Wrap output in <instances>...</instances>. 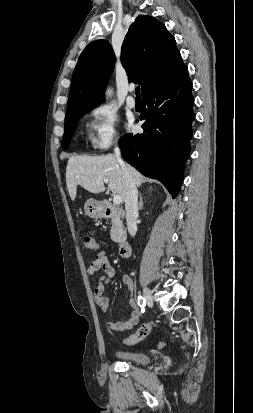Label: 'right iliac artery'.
Wrapping results in <instances>:
<instances>
[{"label": "right iliac artery", "instance_id": "obj_1", "mask_svg": "<svg viewBox=\"0 0 253 413\" xmlns=\"http://www.w3.org/2000/svg\"><path fill=\"white\" fill-rule=\"evenodd\" d=\"M137 303L141 307V311L144 312V307L146 305L145 298H143L142 296H139L137 299Z\"/></svg>", "mask_w": 253, "mask_h": 413}]
</instances>
